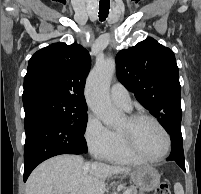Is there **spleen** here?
Segmentation results:
<instances>
[{
  "label": "spleen",
  "instance_id": "3e777b00",
  "mask_svg": "<svg viewBox=\"0 0 201 194\" xmlns=\"http://www.w3.org/2000/svg\"><path fill=\"white\" fill-rule=\"evenodd\" d=\"M174 192L175 194H184L183 186L179 182L175 183Z\"/></svg>",
  "mask_w": 201,
  "mask_h": 194
}]
</instances>
